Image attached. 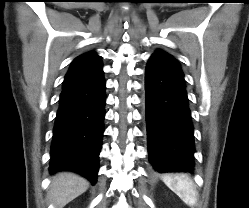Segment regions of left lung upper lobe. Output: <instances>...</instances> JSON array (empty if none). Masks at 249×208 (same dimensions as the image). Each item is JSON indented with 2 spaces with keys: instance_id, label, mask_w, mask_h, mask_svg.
I'll list each match as a JSON object with an SVG mask.
<instances>
[{
  "instance_id": "obj_1",
  "label": "left lung upper lobe",
  "mask_w": 249,
  "mask_h": 208,
  "mask_svg": "<svg viewBox=\"0 0 249 208\" xmlns=\"http://www.w3.org/2000/svg\"><path fill=\"white\" fill-rule=\"evenodd\" d=\"M152 56L165 57V58H168V59L178 63L177 60L172 55H170L162 50H157Z\"/></svg>"
}]
</instances>
